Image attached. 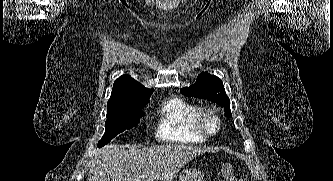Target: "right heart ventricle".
Here are the masks:
<instances>
[{
  "label": "right heart ventricle",
  "mask_w": 333,
  "mask_h": 181,
  "mask_svg": "<svg viewBox=\"0 0 333 181\" xmlns=\"http://www.w3.org/2000/svg\"><path fill=\"white\" fill-rule=\"evenodd\" d=\"M200 108L179 97L165 101L158 110L156 136L159 140L177 144H196L205 141L195 127Z\"/></svg>",
  "instance_id": "right-heart-ventricle-1"
}]
</instances>
